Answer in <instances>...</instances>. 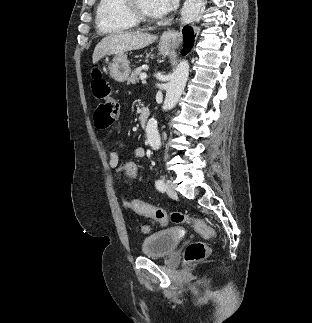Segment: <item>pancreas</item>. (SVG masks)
Returning a JSON list of instances; mask_svg holds the SVG:
<instances>
[{
    "mask_svg": "<svg viewBox=\"0 0 312 323\" xmlns=\"http://www.w3.org/2000/svg\"><path fill=\"white\" fill-rule=\"evenodd\" d=\"M139 74H142L141 70H135V72H132L130 78H127V84H136L139 80Z\"/></svg>",
    "mask_w": 312,
    "mask_h": 323,
    "instance_id": "1",
    "label": "pancreas"
}]
</instances>
